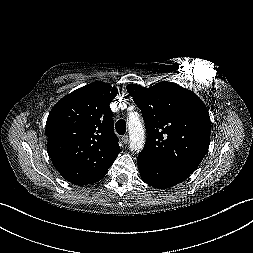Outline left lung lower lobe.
<instances>
[{"mask_svg": "<svg viewBox=\"0 0 253 253\" xmlns=\"http://www.w3.org/2000/svg\"><path fill=\"white\" fill-rule=\"evenodd\" d=\"M138 168L142 180L158 189L169 188L187 179L189 171L163 169L150 162L143 155L137 158Z\"/></svg>", "mask_w": 253, "mask_h": 253, "instance_id": "left-lung-lower-lobe-1", "label": "left lung lower lobe"}]
</instances>
